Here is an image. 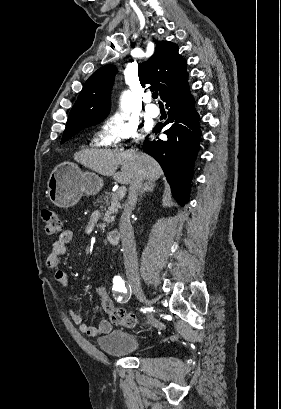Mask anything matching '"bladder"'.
<instances>
[{
    "label": "bladder",
    "instance_id": "1",
    "mask_svg": "<svg viewBox=\"0 0 281 409\" xmlns=\"http://www.w3.org/2000/svg\"><path fill=\"white\" fill-rule=\"evenodd\" d=\"M96 343L107 356H129L145 351L142 339L132 335L130 329H111L108 335L98 336Z\"/></svg>",
    "mask_w": 281,
    "mask_h": 409
}]
</instances>
